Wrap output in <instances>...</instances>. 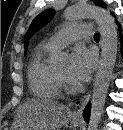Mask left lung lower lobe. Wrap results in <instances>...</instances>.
<instances>
[{"instance_id": "left-lung-lower-lobe-1", "label": "left lung lower lobe", "mask_w": 123, "mask_h": 130, "mask_svg": "<svg viewBox=\"0 0 123 130\" xmlns=\"http://www.w3.org/2000/svg\"><path fill=\"white\" fill-rule=\"evenodd\" d=\"M122 44H123V38H122ZM83 116H84L85 120L88 122L89 117H90V104H88L86 106L85 110L83 111Z\"/></svg>"}]
</instances>
